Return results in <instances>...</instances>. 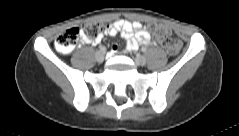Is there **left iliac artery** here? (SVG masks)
I'll return each mask as SVG.
<instances>
[{
	"label": "left iliac artery",
	"instance_id": "left-iliac-artery-1",
	"mask_svg": "<svg viewBox=\"0 0 239 136\" xmlns=\"http://www.w3.org/2000/svg\"><path fill=\"white\" fill-rule=\"evenodd\" d=\"M146 51V48H142V52H145Z\"/></svg>",
	"mask_w": 239,
	"mask_h": 136
}]
</instances>
